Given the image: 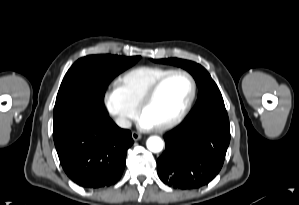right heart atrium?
Wrapping results in <instances>:
<instances>
[{
	"label": "right heart atrium",
	"instance_id": "right-heart-atrium-1",
	"mask_svg": "<svg viewBox=\"0 0 299 205\" xmlns=\"http://www.w3.org/2000/svg\"><path fill=\"white\" fill-rule=\"evenodd\" d=\"M103 105L115 123L121 128L129 127L137 115V108L130 105L117 86L107 89L103 95Z\"/></svg>",
	"mask_w": 299,
	"mask_h": 205
}]
</instances>
